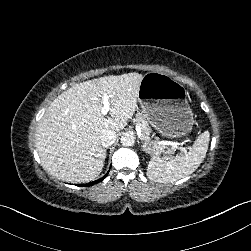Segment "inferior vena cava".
I'll use <instances>...</instances> for the list:
<instances>
[{
  "instance_id": "1",
  "label": "inferior vena cava",
  "mask_w": 251,
  "mask_h": 251,
  "mask_svg": "<svg viewBox=\"0 0 251 251\" xmlns=\"http://www.w3.org/2000/svg\"><path fill=\"white\" fill-rule=\"evenodd\" d=\"M116 140V132L109 130V129H105L101 132L100 135V141H101V145L103 147H109L111 146Z\"/></svg>"
}]
</instances>
